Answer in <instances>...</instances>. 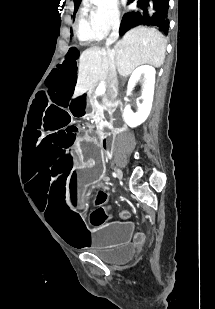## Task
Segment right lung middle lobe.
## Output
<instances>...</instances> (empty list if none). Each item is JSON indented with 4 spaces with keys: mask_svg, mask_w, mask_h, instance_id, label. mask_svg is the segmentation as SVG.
Returning <instances> with one entry per match:
<instances>
[{
    "mask_svg": "<svg viewBox=\"0 0 215 309\" xmlns=\"http://www.w3.org/2000/svg\"><path fill=\"white\" fill-rule=\"evenodd\" d=\"M80 1H81V0H78V2L75 3V10H74V13H76V11H77V9H78V7H79ZM130 1H131V0H129L128 3H130Z\"/></svg>",
    "mask_w": 215,
    "mask_h": 309,
    "instance_id": "1",
    "label": "right lung middle lobe"
}]
</instances>
